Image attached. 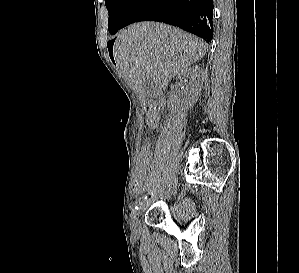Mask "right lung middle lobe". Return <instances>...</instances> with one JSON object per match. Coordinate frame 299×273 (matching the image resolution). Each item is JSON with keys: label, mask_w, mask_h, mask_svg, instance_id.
Wrapping results in <instances>:
<instances>
[{"label": "right lung middle lobe", "mask_w": 299, "mask_h": 273, "mask_svg": "<svg viewBox=\"0 0 299 273\" xmlns=\"http://www.w3.org/2000/svg\"><path fill=\"white\" fill-rule=\"evenodd\" d=\"M134 0H105V5L109 13L108 28L111 34H115L121 22Z\"/></svg>", "instance_id": "obj_1"}]
</instances>
